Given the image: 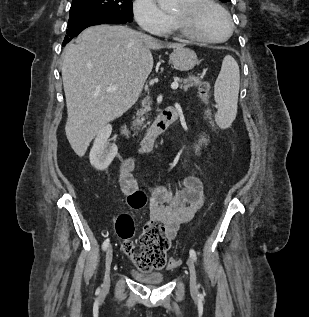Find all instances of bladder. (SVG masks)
<instances>
[{"mask_svg": "<svg viewBox=\"0 0 309 317\" xmlns=\"http://www.w3.org/2000/svg\"><path fill=\"white\" fill-rule=\"evenodd\" d=\"M132 277L143 284H161L164 282V275L160 272H142L137 269L130 271Z\"/></svg>", "mask_w": 309, "mask_h": 317, "instance_id": "1", "label": "bladder"}]
</instances>
